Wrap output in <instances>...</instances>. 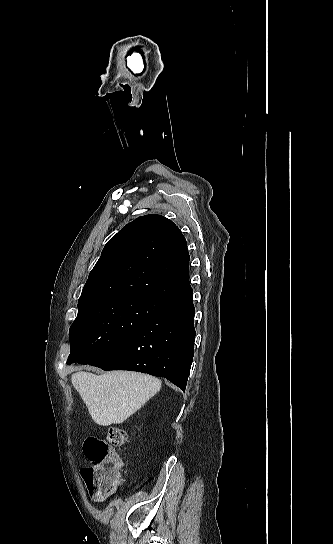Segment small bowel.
I'll return each instance as SVG.
<instances>
[{"label":"small bowel","mask_w":333,"mask_h":544,"mask_svg":"<svg viewBox=\"0 0 333 544\" xmlns=\"http://www.w3.org/2000/svg\"><path fill=\"white\" fill-rule=\"evenodd\" d=\"M117 487L118 486L110 490H96L91 492V501L94 503L104 502L107 498H109L111 495H113L116 492Z\"/></svg>","instance_id":"c3829d8e"}]
</instances>
